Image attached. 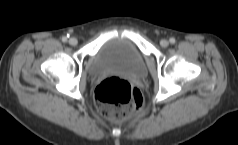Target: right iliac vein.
<instances>
[{"mask_svg":"<svg viewBox=\"0 0 238 145\" xmlns=\"http://www.w3.org/2000/svg\"><path fill=\"white\" fill-rule=\"evenodd\" d=\"M77 43H78V40L76 38L72 37L69 39L70 45L75 46V45H77Z\"/></svg>","mask_w":238,"mask_h":145,"instance_id":"right-iliac-vein-1","label":"right iliac vein"}]
</instances>
